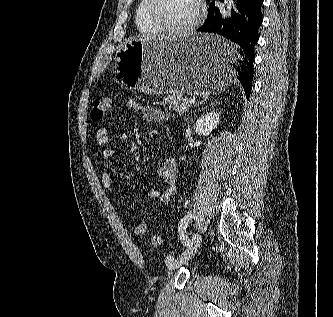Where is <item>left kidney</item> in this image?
Returning a JSON list of instances; mask_svg holds the SVG:
<instances>
[{
  "mask_svg": "<svg viewBox=\"0 0 333 317\" xmlns=\"http://www.w3.org/2000/svg\"><path fill=\"white\" fill-rule=\"evenodd\" d=\"M220 121V114L217 112H208L203 114L195 124V132L199 135L208 136L217 128Z\"/></svg>",
  "mask_w": 333,
  "mask_h": 317,
  "instance_id": "5707ae66",
  "label": "left kidney"
}]
</instances>
